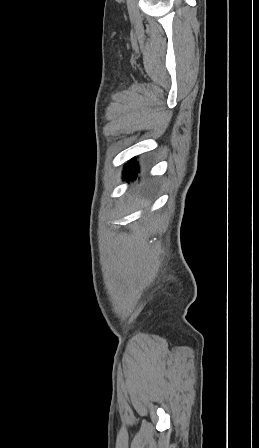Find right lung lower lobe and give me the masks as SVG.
<instances>
[{
	"label": "right lung lower lobe",
	"instance_id": "obj_1",
	"mask_svg": "<svg viewBox=\"0 0 259 448\" xmlns=\"http://www.w3.org/2000/svg\"><path fill=\"white\" fill-rule=\"evenodd\" d=\"M138 171V163L136 162V158H133L127 164H125L122 178L127 182L135 180L138 176Z\"/></svg>",
	"mask_w": 259,
	"mask_h": 448
}]
</instances>
